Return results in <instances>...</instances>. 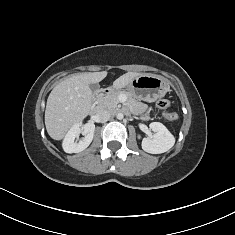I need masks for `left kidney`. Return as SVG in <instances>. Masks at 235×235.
Returning a JSON list of instances; mask_svg holds the SVG:
<instances>
[{
    "instance_id": "1",
    "label": "left kidney",
    "mask_w": 235,
    "mask_h": 235,
    "mask_svg": "<svg viewBox=\"0 0 235 235\" xmlns=\"http://www.w3.org/2000/svg\"><path fill=\"white\" fill-rule=\"evenodd\" d=\"M149 127L155 134L151 138H143L142 149L145 152L160 154L173 147L175 138L162 123L152 122Z\"/></svg>"
}]
</instances>
